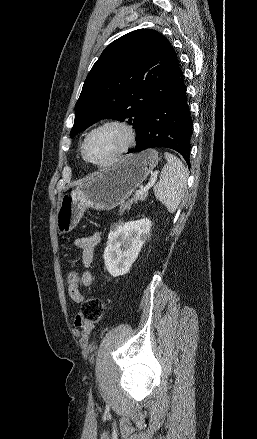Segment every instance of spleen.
Instances as JSON below:
<instances>
[{
	"label": "spleen",
	"mask_w": 257,
	"mask_h": 439,
	"mask_svg": "<svg viewBox=\"0 0 257 439\" xmlns=\"http://www.w3.org/2000/svg\"><path fill=\"white\" fill-rule=\"evenodd\" d=\"M167 161L161 171L159 182L154 186V194L170 213H174L187 186V169L176 156L164 153Z\"/></svg>",
	"instance_id": "spleen-1"
}]
</instances>
